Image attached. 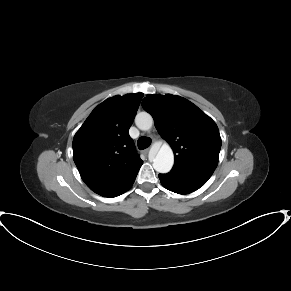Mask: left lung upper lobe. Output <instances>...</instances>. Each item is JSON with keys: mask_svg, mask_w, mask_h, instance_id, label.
<instances>
[{"mask_svg": "<svg viewBox=\"0 0 291 291\" xmlns=\"http://www.w3.org/2000/svg\"><path fill=\"white\" fill-rule=\"evenodd\" d=\"M142 106L174 151L171 172L208 180L217 167L221 148L215 122L190 101L171 94H149Z\"/></svg>", "mask_w": 291, "mask_h": 291, "instance_id": "obj_1", "label": "left lung upper lobe"}]
</instances>
